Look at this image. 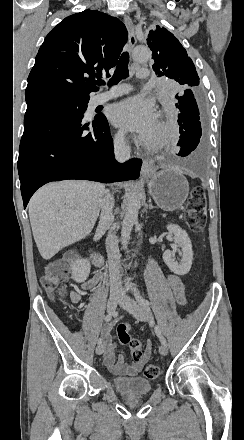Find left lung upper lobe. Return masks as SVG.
I'll return each instance as SVG.
<instances>
[{
    "label": "left lung upper lobe",
    "mask_w": 244,
    "mask_h": 440,
    "mask_svg": "<svg viewBox=\"0 0 244 440\" xmlns=\"http://www.w3.org/2000/svg\"><path fill=\"white\" fill-rule=\"evenodd\" d=\"M147 43L153 52V70L159 77L171 78L186 87L194 88L199 85L193 61L171 32L156 26L154 31H150Z\"/></svg>",
    "instance_id": "5c2ea615"
}]
</instances>
